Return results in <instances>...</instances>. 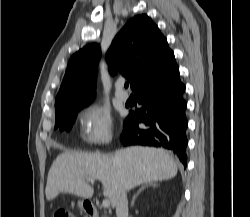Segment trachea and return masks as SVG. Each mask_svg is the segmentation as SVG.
I'll return each mask as SVG.
<instances>
[{
	"mask_svg": "<svg viewBox=\"0 0 250 217\" xmlns=\"http://www.w3.org/2000/svg\"><path fill=\"white\" fill-rule=\"evenodd\" d=\"M128 86H129V83L128 82L125 83V88H128Z\"/></svg>",
	"mask_w": 250,
	"mask_h": 217,
	"instance_id": "1",
	"label": "trachea"
}]
</instances>
